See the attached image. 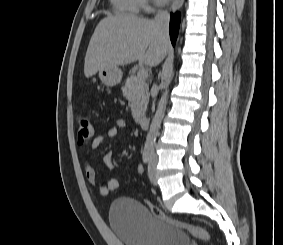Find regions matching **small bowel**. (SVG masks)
Segmentation results:
<instances>
[{"instance_id": "c3829d8e", "label": "small bowel", "mask_w": 283, "mask_h": 245, "mask_svg": "<svg viewBox=\"0 0 283 245\" xmlns=\"http://www.w3.org/2000/svg\"><path fill=\"white\" fill-rule=\"evenodd\" d=\"M128 127V122L125 119H117L114 125L106 128L93 139L90 146V151L96 150L106 140L115 137L120 129H127ZM103 159L107 170H112L114 168V165L110 152H106ZM84 169L87 180L91 185L96 187L97 193L101 196L107 195L108 191L106 186L99 183L97 172L88 159L84 161ZM136 172L138 174L143 173V166L141 164H138L136 166Z\"/></svg>"}]
</instances>
